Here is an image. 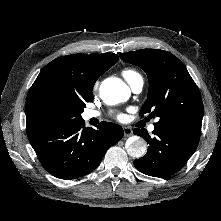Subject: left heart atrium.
Instances as JSON below:
<instances>
[{
  "label": "left heart atrium",
  "instance_id": "left-heart-atrium-1",
  "mask_svg": "<svg viewBox=\"0 0 221 221\" xmlns=\"http://www.w3.org/2000/svg\"><path fill=\"white\" fill-rule=\"evenodd\" d=\"M117 118H118V119H122V115H121V114H118V115H117Z\"/></svg>",
  "mask_w": 221,
  "mask_h": 221
}]
</instances>
